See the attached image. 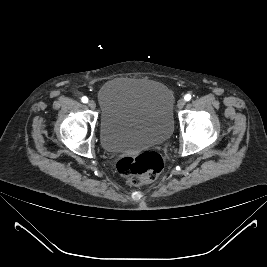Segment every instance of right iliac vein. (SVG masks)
<instances>
[{
    "instance_id": "right-iliac-vein-1",
    "label": "right iliac vein",
    "mask_w": 267,
    "mask_h": 267,
    "mask_svg": "<svg viewBox=\"0 0 267 267\" xmlns=\"http://www.w3.org/2000/svg\"><path fill=\"white\" fill-rule=\"evenodd\" d=\"M88 106H89L91 109H95V107H96V103H95L93 100H90V101L88 102Z\"/></svg>"
}]
</instances>
